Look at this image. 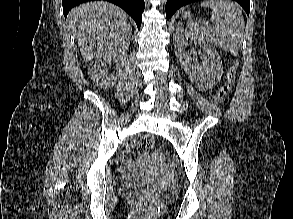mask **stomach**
<instances>
[{
	"mask_svg": "<svg viewBox=\"0 0 293 219\" xmlns=\"http://www.w3.org/2000/svg\"><path fill=\"white\" fill-rule=\"evenodd\" d=\"M185 16H189V12H186V13H185Z\"/></svg>",
	"mask_w": 293,
	"mask_h": 219,
	"instance_id": "obj_1",
	"label": "stomach"
}]
</instances>
